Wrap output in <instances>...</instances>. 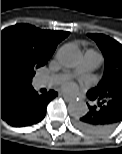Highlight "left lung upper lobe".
<instances>
[{
    "mask_svg": "<svg viewBox=\"0 0 122 154\" xmlns=\"http://www.w3.org/2000/svg\"><path fill=\"white\" fill-rule=\"evenodd\" d=\"M95 40L105 58V70L98 85L88 91L99 97H110L114 91L122 90V45L103 34H87Z\"/></svg>",
    "mask_w": 122,
    "mask_h": 154,
    "instance_id": "5c2ea615",
    "label": "left lung upper lobe"
}]
</instances>
